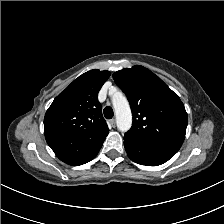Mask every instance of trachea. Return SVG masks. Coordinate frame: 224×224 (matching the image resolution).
<instances>
[{"instance_id":"1","label":"trachea","mask_w":224,"mask_h":224,"mask_svg":"<svg viewBox=\"0 0 224 224\" xmlns=\"http://www.w3.org/2000/svg\"><path fill=\"white\" fill-rule=\"evenodd\" d=\"M104 116L107 119H111L114 115L113 109L109 106L105 107L103 110Z\"/></svg>"}]
</instances>
